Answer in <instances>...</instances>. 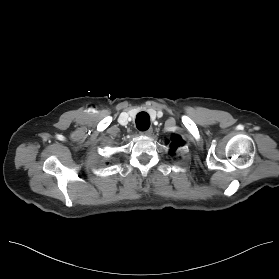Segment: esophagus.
Returning a JSON list of instances; mask_svg holds the SVG:
<instances>
[{
	"label": "esophagus",
	"mask_w": 279,
	"mask_h": 279,
	"mask_svg": "<svg viewBox=\"0 0 279 279\" xmlns=\"http://www.w3.org/2000/svg\"><path fill=\"white\" fill-rule=\"evenodd\" d=\"M153 133V129L152 128H149L148 130L144 131V132H141L142 135H145V136H151Z\"/></svg>",
	"instance_id": "obj_1"
}]
</instances>
